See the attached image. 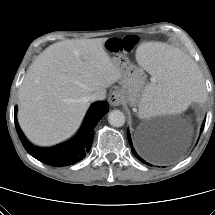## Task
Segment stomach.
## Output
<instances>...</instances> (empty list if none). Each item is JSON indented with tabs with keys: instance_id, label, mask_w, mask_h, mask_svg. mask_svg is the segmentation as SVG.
Wrapping results in <instances>:
<instances>
[{
	"instance_id": "1",
	"label": "stomach",
	"mask_w": 215,
	"mask_h": 215,
	"mask_svg": "<svg viewBox=\"0 0 215 215\" xmlns=\"http://www.w3.org/2000/svg\"><path fill=\"white\" fill-rule=\"evenodd\" d=\"M112 60L121 70L120 83L121 93L127 103L135 106L139 102L140 92L144 83V72L142 68L133 65L129 59L120 53H114Z\"/></svg>"
}]
</instances>
